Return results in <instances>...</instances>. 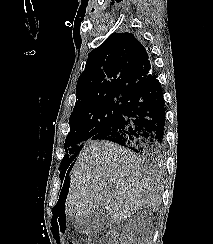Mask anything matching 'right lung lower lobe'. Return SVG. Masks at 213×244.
Instances as JSON below:
<instances>
[{"label":"right lung lower lobe","instance_id":"obj_1","mask_svg":"<svg viewBox=\"0 0 213 244\" xmlns=\"http://www.w3.org/2000/svg\"><path fill=\"white\" fill-rule=\"evenodd\" d=\"M165 103L160 83L153 75L129 100L116 123L92 140H108L133 150L142 157L161 162L164 156ZM61 191L69 185L68 174Z\"/></svg>","mask_w":213,"mask_h":244}]
</instances>
